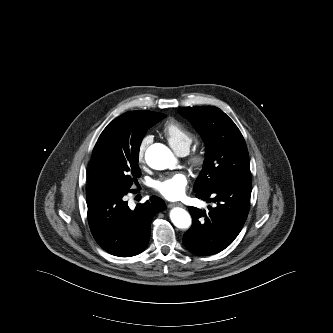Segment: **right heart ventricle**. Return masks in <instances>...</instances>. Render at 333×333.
I'll list each match as a JSON object with an SVG mask.
<instances>
[{"label":"right heart ventricle","instance_id":"e07e8e85","mask_svg":"<svg viewBox=\"0 0 333 333\" xmlns=\"http://www.w3.org/2000/svg\"><path fill=\"white\" fill-rule=\"evenodd\" d=\"M162 131L169 144L177 153L183 151L188 153L194 141V134L183 123L171 119L164 124Z\"/></svg>","mask_w":333,"mask_h":333}]
</instances>
